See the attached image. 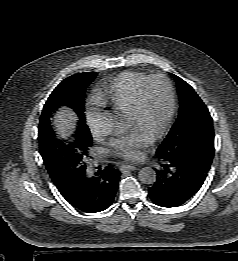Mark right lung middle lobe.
<instances>
[{
    "label": "right lung middle lobe",
    "instance_id": "obj_1",
    "mask_svg": "<svg viewBox=\"0 0 238 261\" xmlns=\"http://www.w3.org/2000/svg\"><path fill=\"white\" fill-rule=\"evenodd\" d=\"M97 73L75 74L63 80L51 93L39 123V151L48 173L56 185H65L86 171L92 136L84 117V93ZM67 106L79 117V129L72 138H58L49 117L59 106Z\"/></svg>",
    "mask_w": 238,
    "mask_h": 261
}]
</instances>
